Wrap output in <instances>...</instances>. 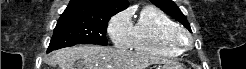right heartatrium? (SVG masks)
Returning <instances> with one entry per match:
<instances>
[{"mask_svg":"<svg viewBox=\"0 0 246 69\" xmlns=\"http://www.w3.org/2000/svg\"><path fill=\"white\" fill-rule=\"evenodd\" d=\"M132 23L127 11L113 16L107 25V34L117 48H129Z\"/></svg>","mask_w":246,"mask_h":69,"instance_id":"d8ad5b80","label":"right heart atrium"}]
</instances>
